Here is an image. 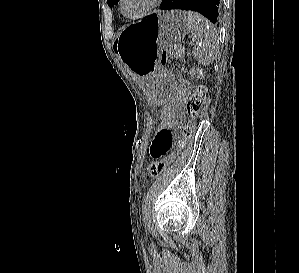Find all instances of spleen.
Segmentation results:
<instances>
[{"label":"spleen","instance_id":"spleen-1","mask_svg":"<svg viewBox=\"0 0 299 273\" xmlns=\"http://www.w3.org/2000/svg\"><path fill=\"white\" fill-rule=\"evenodd\" d=\"M194 41L193 56L202 65L211 64L218 52V33L208 19L195 12H183Z\"/></svg>","mask_w":299,"mask_h":273}]
</instances>
